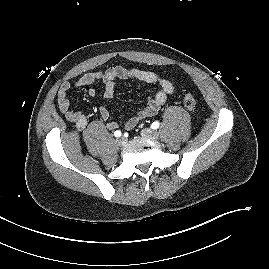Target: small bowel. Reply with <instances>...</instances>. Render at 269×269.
I'll return each instance as SVG.
<instances>
[{"label": "small bowel", "mask_w": 269, "mask_h": 269, "mask_svg": "<svg viewBox=\"0 0 269 269\" xmlns=\"http://www.w3.org/2000/svg\"><path fill=\"white\" fill-rule=\"evenodd\" d=\"M117 80H136L158 87V91L149 99L147 105L127 120L125 123V129L127 130L136 127L141 119L156 115L166 102L167 97L175 92L173 83L158 74L152 71L124 66H114L104 71L86 73L76 81L75 86L85 87L94 83H102L104 87V97L111 99L114 96L115 83ZM70 89L71 84L68 81L61 84L57 95V104L60 112L65 118L72 122L78 131H82L87 125V118L80 110L71 108L68 99V92ZM88 95L94 97L96 95V90L90 88L88 90ZM99 115L102 120L107 122L106 126L109 130L118 128L119 125L117 122L109 120L110 114L106 107L102 106L99 108Z\"/></svg>", "instance_id": "small-bowel-1"}]
</instances>
